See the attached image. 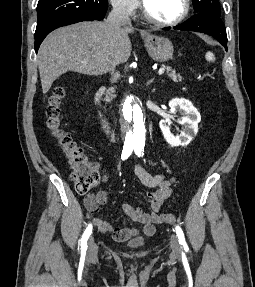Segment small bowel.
Segmentation results:
<instances>
[{
    "label": "small bowel",
    "instance_id": "obj_1",
    "mask_svg": "<svg viewBox=\"0 0 255 287\" xmlns=\"http://www.w3.org/2000/svg\"><path fill=\"white\" fill-rule=\"evenodd\" d=\"M135 175L142 185L151 189L144 195L151 211L145 212L140 207L124 205L121 210L115 211L116 217L120 219H129L132 222L143 225L142 232L145 235H152L155 232V226L162 223L160 210L163 203L172 193L173 178H167L164 174H152L145 168L137 165L134 169ZM108 202V195L105 191H99L96 194H89L84 199V205L87 215L91 218L97 230L104 234H111L114 239L123 241L136 235L138 230L126 227H115L106 220L95 217L100 206Z\"/></svg>",
    "mask_w": 255,
    "mask_h": 287
}]
</instances>
